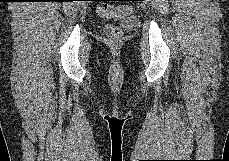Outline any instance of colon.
Wrapping results in <instances>:
<instances>
[{"label": "colon", "mask_w": 229, "mask_h": 161, "mask_svg": "<svg viewBox=\"0 0 229 161\" xmlns=\"http://www.w3.org/2000/svg\"><path fill=\"white\" fill-rule=\"evenodd\" d=\"M97 12L104 18H120L128 15L131 12V8L126 5L102 3L97 6ZM104 30L113 42H118L122 37V31L115 25L108 24L104 27Z\"/></svg>", "instance_id": "colon-1"}]
</instances>
